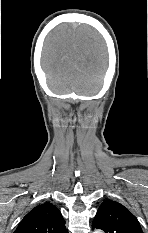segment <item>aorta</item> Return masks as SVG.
<instances>
[{
    "mask_svg": "<svg viewBox=\"0 0 148 233\" xmlns=\"http://www.w3.org/2000/svg\"><path fill=\"white\" fill-rule=\"evenodd\" d=\"M94 233H102L101 231H99V230H97V231H95Z\"/></svg>",
    "mask_w": 148,
    "mask_h": 233,
    "instance_id": "1",
    "label": "aorta"
}]
</instances>
